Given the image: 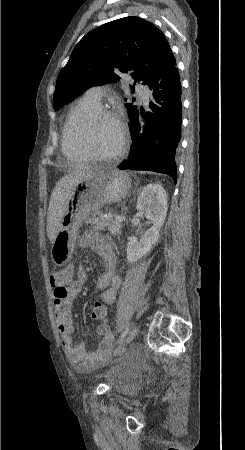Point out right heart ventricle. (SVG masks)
Here are the masks:
<instances>
[{
	"label": "right heart ventricle",
	"mask_w": 245,
	"mask_h": 450,
	"mask_svg": "<svg viewBox=\"0 0 245 450\" xmlns=\"http://www.w3.org/2000/svg\"><path fill=\"white\" fill-rule=\"evenodd\" d=\"M99 108L100 103L92 101L86 94L71 106L63 128L61 144L62 152L67 158L77 162L89 160L88 156L75 143L73 130L78 122H82L90 113Z\"/></svg>",
	"instance_id": "e07e8e85"
}]
</instances>
